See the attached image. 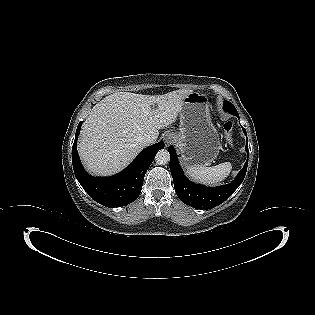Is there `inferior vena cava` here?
<instances>
[{
    "mask_svg": "<svg viewBox=\"0 0 315 315\" xmlns=\"http://www.w3.org/2000/svg\"><path fill=\"white\" fill-rule=\"evenodd\" d=\"M141 143H143L145 146L150 145L156 141V138L152 135L146 134L141 137Z\"/></svg>",
    "mask_w": 315,
    "mask_h": 315,
    "instance_id": "obj_1",
    "label": "inferior vena cava"
}]
</instances>
